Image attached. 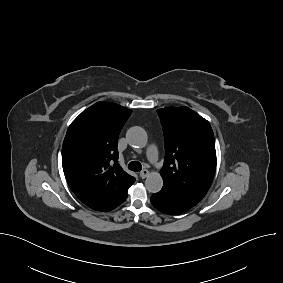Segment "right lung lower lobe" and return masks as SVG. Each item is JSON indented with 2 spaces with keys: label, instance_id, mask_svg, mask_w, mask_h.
Wrapping results in <instances>:
<instances>
[{
  "label": "right lung lower lobe",
  "instance_id": "98d812e1",
  "mask_svg": "<svg viewBox=\"0 0 283 283\" xmlns=\"http://www.w3.org/2000/svg\"><path fill=\"white\" fill-rule=\"evenodd\" d=\"M126 198H127V195L124 196L123 199L118 204H116L113 208H111L110 210H112V209L116 208L117 206H119L121 203H123L125 201ZM110 210H108V211H110Z\"/></svg>",
  "mask_w": 283,
  "mask_h": 283
}]
</instances>
